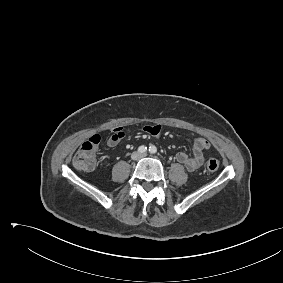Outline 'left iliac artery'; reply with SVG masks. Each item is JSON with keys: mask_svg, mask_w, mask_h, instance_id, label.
Here are the masks:
<instances>
[{"mask_svg": "<svg viewBox=\"0 0 283 283\" xmlns=\"http://www.w3.org/2000/svg\"><path fill=\"white\" fill-rule=\"evenodd\" d=\"M149 152H150L151 154H155V153L157 152L156 146L151 145V146L149 147Z\"/></svg>", "mask_w": 283, "mask_h": 283, "instance_id": "left-iliac-artery-1", "label": "left iliac artery"}]
</instances>
